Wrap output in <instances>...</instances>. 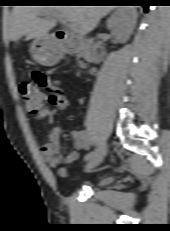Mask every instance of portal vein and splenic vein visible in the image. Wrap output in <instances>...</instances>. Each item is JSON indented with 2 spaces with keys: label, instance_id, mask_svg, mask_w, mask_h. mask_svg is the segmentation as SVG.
Listing matches in <instances>:
<instances>
[{
  "label": "portal vein and splenic vein",
  "instance_id": "obj_1",
  "mask_svg": "<svg viewBox=\"0 0 170 231\" xmlns=\"http://www.w3.org/2000/svg\"><path fill=\"white\" fill-rule=\"evenodd\" d=\"M57 19H58L62 24L67 25L70 29L75 30L74 25H73V24H68L67 21L64 19L63 16L58 15V16H57Z\"/></svg>",
  "mask_w": 170,
  "mask_h": 231
}]
</instances>
